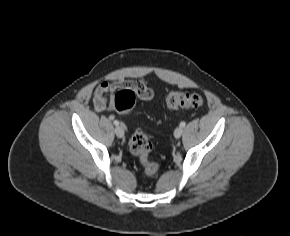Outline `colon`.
I'll list each match as a JSON object with an SVG mask.
<instances>
[{"instance_id": "5ec220e1", "label": "colon", "mask_w": 290, "mask_h": 236, "mask_svg": "<svg viewBox=\"0 0 290 236\" xmlns=\"http://www.w3.org/2000/svg\"><path fill=\"white\" fill-rule=\"evenodd\" d=\"M137 93L129 87H122L114 97L113 105L118 112L130 113L136 103ZM204 98L199 93H184L171 91L166 98L167 108L171 111L183 107H201ZM130 151L138 157L146 176L154 177L160 171V164L151 160L149 154L152 150V142L147 134L141 129L133 132L129 139Z\"/></svg>"}]
</instances>
